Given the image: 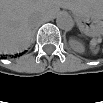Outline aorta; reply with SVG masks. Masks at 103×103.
<instances>
[{"instance_id":"762f6f07","label":"aorta","mask_w":103,"mask_h":103,"mask_svg":"<svg viewBox=\"0 0 103 103\" xmlns=\"http://www.w3.org/2000/svg\"><path fill=\"white\" fill-rule=\"evenodd\" d=\"M56 25L62 30L69 31L72 29L74 21L68 13L62 12L56 18Z\"/></svg>"}]
</instances>
